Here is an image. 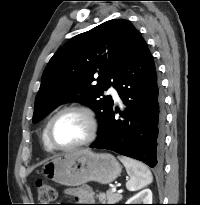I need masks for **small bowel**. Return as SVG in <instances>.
Returning a JSON list of instances; mask_svg holds the SVG:
<instances>
[{
  "instance_id": "small-bowel-1",
  "label": "small bowel",
  "mask_w": 200,
  "mask_h": 205,
  "mask_svg": "<svg viewBox=\"0 0 200 205\" xmlns=\"http://www.w3.org/2000/svg\"><path fill=\"white\" fill-rule=\"evenodd\" d=\"M67 194L75 197L78 200H83L88 198V194L83 189H70L67 190Z\"/></svg>"
}]
</instances>
